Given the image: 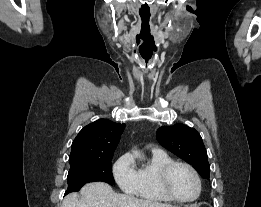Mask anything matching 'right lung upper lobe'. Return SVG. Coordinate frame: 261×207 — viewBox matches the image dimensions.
<instances>
[{
  "label": "right lung upper lobe",
  "instance_id": "right-lung-upper-lobe-1",
  "mask_svg": "<svg viewBox=\"0 0 261 207\" xmlns=\"http://www.w3.org/2000/svg\"><path fill=\"white\" fill-rule=\"evenodd\" d=\"M125 124L99 119L85 126L72 143L69 163L113 157Z\"/></svg>",
  "mask_w": 261,
  "mask_h": 207
}]
</instances>
